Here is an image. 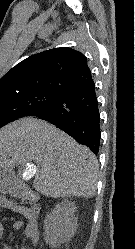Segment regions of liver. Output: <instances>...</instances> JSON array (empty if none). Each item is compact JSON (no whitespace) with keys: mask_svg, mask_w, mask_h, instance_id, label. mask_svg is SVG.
<instances>
[{"mask_svg":"<svg viewBox=\"0 0 135 249\" xmlns=\"http://www.w3.org/2000/svg\"><path fill=\"white\" fill-rule=\"evenodd\" d=\"M36 163L33 187L44 196L91 198L98 161L86 146L46 121L25 117L0 129V168Z\"/></svg>","mask_w":135,"mask_h":249,"instance_id":"liver-1","label":"liver"}]
</instances>
